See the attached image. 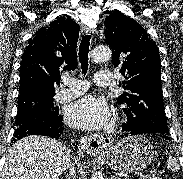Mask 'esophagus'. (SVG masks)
Returning a JSON list of instances; mask_svg holds the SVG:
<instances>
[{
	"instance_id": "1",
	"label": "esophagus",
	"mask_w": 183,
	"mask_h": 179,
	"mask_svg": "<svg viewBox=\"0 0 183 179\" xmlns=\"http://www.w3.org/2000/svg\"><path fill=\"white\" fill-rule=\"evenodd\" d=\"M82 33L85 35H92L94 30L89 27H84ZM79 142L82 149L87 153L99 154L112 144L113 138L112 136L104 134H91L81 137Z\"/></svg>"
}]
</instances>
